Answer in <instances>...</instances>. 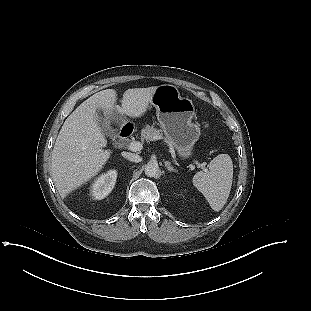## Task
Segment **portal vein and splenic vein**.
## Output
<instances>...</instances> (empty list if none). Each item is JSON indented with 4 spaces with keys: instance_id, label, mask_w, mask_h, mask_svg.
<instances>
[{
    "instance_id": "obj_1",
    "label": "portal vein and splenic vein",
    "mask_w": 311,
    "mask_h": 311,
    "mask_svg": "<svg viewBox=\"0 0 311 311\" xmlns=\"http://www.w3.org/2000/svg\"><path fill=\"white\" fill-rule=\"evenodd\" d=\"M128 148L131 150V151H140L143 149V144L141 142H138V141H135V142H131L129 145H128ZM196 164L201 167L202 169L205 170V164H199L198 162H196Z\"/></svg>"
}]
</instances>
